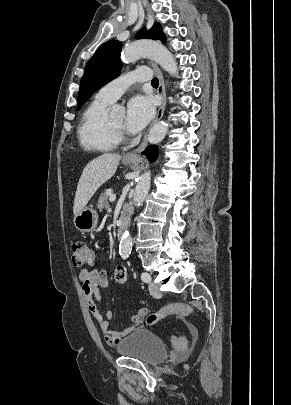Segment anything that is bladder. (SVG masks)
<instances>
[{
	"label": "bladder",
	"instance_id": "31cf9c89",
	"mask_svg": "<svg viewBox=\"0 0 291 405\" xmlns=\"http://www.w3.org/2000/svg\"><path fill=\"white\" fill-rule=\"evenodd\" d=\"M117 352L148 365L161 363L168 354L162 338L148 329H138L130 333L118 343Z\"/></svg>",
	"mask_w": 291,
	"mask_h": 405
}]
</instances>
